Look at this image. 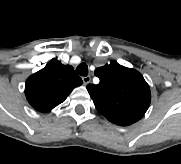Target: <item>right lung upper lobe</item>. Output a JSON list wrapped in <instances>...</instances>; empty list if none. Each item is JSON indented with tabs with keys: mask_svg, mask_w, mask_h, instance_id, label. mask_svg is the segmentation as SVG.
Listing matches in <instances>:
<instances>
[{
	"mask_svg": "<svg viewBox=\"0 0 181 164\" xmlns=\"http://www.w3.org/2000/svg\"><path fill=\"white\" fill-rule=\"evenodd\" d=\"M82 83L72 66L52 59L42 70L26 80L25 94L34 109L48 112L62 103Z\"/></svg>",
	"mask_w": 181,
	"mask_h": 164,
	"instance_id": "obj_1",
	"label": "right lung upper lobe"
}]
</instances>
